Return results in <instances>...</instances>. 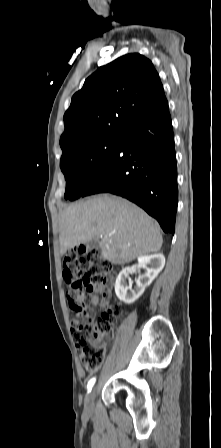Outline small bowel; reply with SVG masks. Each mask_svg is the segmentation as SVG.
I'll return each mask as SVG.
<instances>
[{"mask_svg":"<svg viewBox=\"0 0 221 448\" xmlns=\"http://www.w3.org/2000/svg\"><path fill=\"white\" fill-rule=\"evenodd\" d=\"M100 293L102 294V299L99 300L98 295H92L91 297V301H90V305L91 306H99L101 309H106L109 305L110 302V294L109 291L107 289H101ZM78 319L79 316H76L73 321L72 324L76 325L78 323Z\"/></svg>","mask_w":221,"mask_h":448,"instance_id":"c3829d8e","label":"small bowel"}]
</instances>
